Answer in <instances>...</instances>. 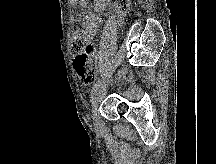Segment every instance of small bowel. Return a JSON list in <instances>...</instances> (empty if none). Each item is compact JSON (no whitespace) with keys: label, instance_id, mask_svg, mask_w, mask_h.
Returning <instances> with one entry per match:
<instances>
[{"label":"small bowel","instance_id":"small-bowel-1","mask_svg":"<svg viewBox=\"0 0 216 164\" xmlns=\"http://www.w3.org/2000/svg\"><path fill=\"white\" fill-rule=\"evenodd\" d=\"M95 18H97V16L94 15V14H91V13H89V14H87V15L85 16V20H88V19H95ZM95 32H96V28H94V29L91 31V33H90V35H89V38H90Z\"/></svg>","mask_w":216,"mask_h":164}]
</instances>
